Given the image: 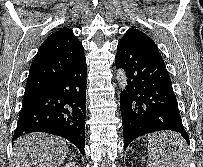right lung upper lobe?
I'll return each instance as SVG.
<instances>
[{
	"label": "right lung upper lobe",
	"instance_id": "right-lung-upper-lobe-1",
	"mask_svg": "<svg viewBox=\"0 0 203 167\" xmlns=\"http://www.w3.org/2000/svg\"><path fill=\"white\" fill-rule=\"evenodd\" d=\"M84 56V49L71 29L62 28L52 33L42 43L31 64L24 95L46 89Z\"/></svg>",
	"mask_w": 203,
	"mask_h": 167
}]
</instances>
